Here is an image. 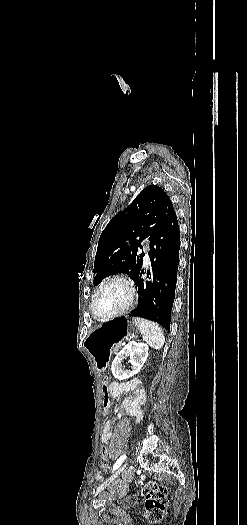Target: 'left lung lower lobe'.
<instances>
[{"label": "left lung lower lobe", "instance_id": "obj_1", "mask_svg": "<svg viewBox=\"0 0 247 525\" xmlns=\"http://www.w3.org/2000/svg\"><path fill=\"white\" fill-rule=\"evenodd\" d=\"M180 232L174 213L150 240V281L141 278V268L134 282L138 288V306L130 316L155 321L170 330L171 310L174 302L179 265Z\"/></svg>", "mask_w": 247, "mask_h": 525}]
</instances>
